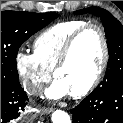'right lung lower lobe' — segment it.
Listing matches in <instances>:
<instances>
[{"label": "right lung lower lobe", "mask_w": 123, "mask_h": 123, "mask_svg": "<svg viewBox=\"0 0 123 123\" xmlns=\"http://www.w3.org/2000/svg\"><path fill=\"white\" fill-rule=\"evenodd\" d=\"M27 104L28 97L20 84H1V123H19Z\"/></svg>", "instance_id": "1"}]
</instances>
